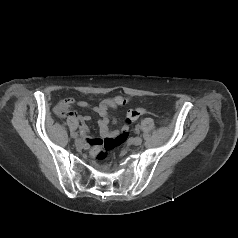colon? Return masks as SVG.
Instances as JSON below:
<instances>
[{"label": "colon", "instance_id": "obj_1", "mask_svg": "<svg viewBox=\"0 0 238 238\" xmlns=\"http://www.w3.org/2000/svg\"><path fill=\"white\" fill-rule=\"evenodd\" d=\"M145 113L142 108L129 110L125 114V118L122 120L121 133L116 137L101 139L96 142L92 147V154L98 159L105 158L108 151L115 149L122 142L125 141L127 135L131 130V123H133L138 117Z\"/></svg>", "mask_w": 238, "mask_h": 238}]
</instances>
